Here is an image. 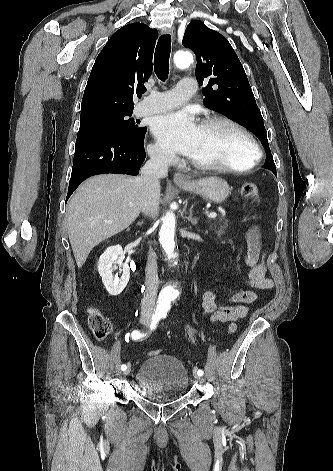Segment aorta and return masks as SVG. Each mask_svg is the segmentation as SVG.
Listing matches in <instances>:
<instances>
[{
	"mask_svg": "<svg viewBox=\"0 0 333 471\" xmlns=\"http://www.w3.org/2000/svg\"><path fill=\"white\" fill-rule=\"evenodd\" d=\"M193 60V56L189 51H179L174 56L175 65L180 68L184 69L188 67ZM175 225H176V217L173 211H168L162 217V225L159 232V242L167 255V257L171 260L177 257L176 253V244L174 240L175 234ZM180 292L174 285L166 286L162 289L159 299H158V307L162 309H167L170 307L171 301L176 299L179 296Z\"/></svg>",
	"mask_w": 333,
	"mask_h": 471,
	"instance_id": "1",
	"label": "aorta"
}]
</instances>
